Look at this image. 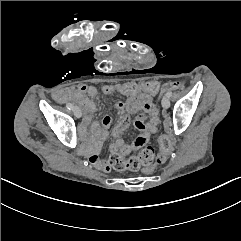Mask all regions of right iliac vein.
Returning <instances> with one entry per match:
<instances>
[{"label":"right iliac vein","instance_id":"obj_1","mask_svg":"<svg viewBox=\"0 0 241 241\" xmlns=\"http://www.w3.org/2000/svg\"><path fill=\"white\" fill-rule=\"evenodd\" d=\"M73 113L75 115L76 118H80L82 116V111L79 107H74L73 109Z\"/></svg>","mask_w":241,"mask_h":241}]
</instances>
